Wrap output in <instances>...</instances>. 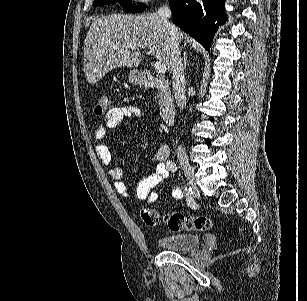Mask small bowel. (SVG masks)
<instances>
[{"label":"small bowel","instance_id":"1","mask_svg":"<svg viewBox=\"0 0 307 301\" xmlns=\"http://www.w3.org/2000/svg\"><path fill=\"white\" fill-rule=\"evenodd\" d=\"M140 114V110L136 106L112 107L107 112L104 123L96 129L94 141L96 152L102 163L107 166L108 174L114 181L116 191L126 199L137 198L152 203L158 198V193L155 189L169 176L170 170L164 162L168 155V148L161 146L157 150L154 155V160L157 164L153 173L143 178L139 182L136 191H132L123 181V168L112 162V155L106 143L107 130L116 128L130 117H139ZM171 196L176 200L182 199L183 192L178 185L171 186Z\"/></svg>","mask_w":307,"mask_h":301}]
</instances>
